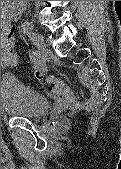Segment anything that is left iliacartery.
Returning a JSON list of instances; mask_svg holds the SVG:
<instances>
[{
  "label": "left iliac artery",
  "instance_id": "left-iliac-artery-1",
  "mask_svg": "<svg viewBox=\"0 0 121 169\" xmlns=\"http://www.w3.org/2000/svg\"><path fill=\"white\" fill-rule=\"evenodd\" d=\"M33 30V25L31 22H24L22 24V32L24 34L30 35ZM30 58H35V53H30ZM32 64H34V68H37V72H42L43 63H40V59H32Z\"/></svg>",
  "mask_w": 121,
  "mask_h": 169
}]
</instances>
